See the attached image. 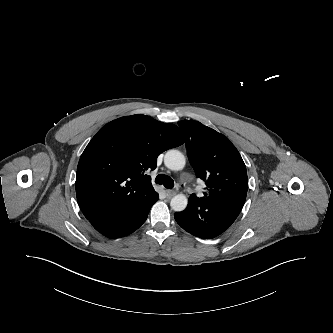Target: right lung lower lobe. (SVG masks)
I'll use <instances>...</instances> for the list:
<instances>
[{"label":"right lung lower lobe","instance_id":"98d812e1","mask_svg":"<svg viewBox=\"0 0 333 333\" xmlns=\"http://www.w3.org/2000/svg\"><path fill=\"white\" fill-rule=\"evenodd\" d=\"M158 200L135 211L119 215H103L88 218L93 227L109 238H120L138 229L147 219L152 205Z\"/></svg>","mask_w":333,"mask_h":333}]
</instances>
